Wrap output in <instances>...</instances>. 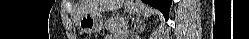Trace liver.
<instances>
[{
  "mask_svg": "<svg viewBox=\"0 0 249 39\" xmlns=\"http://www.w3.org/2000/svg\"><path fill=\"white\" fill-rule=\"evenodd\" d=\"M124 0H83L79 6L77 20L90 12L117 10L122 7Z\"/></svg>",
  "mask_w": 249,
  "mask_h": 39,
  "instance_id": "1",
  "label": "liver"
}]
</instances>
